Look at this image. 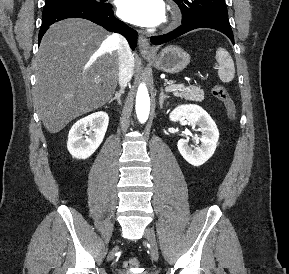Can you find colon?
Segmentation results:
<instances>
[{
  "label": "colon",
  "instance_id": "obj_1",
  "mask_svg": "<svg viewBox=\"0 0 289 274\" xmlns=\"http://www.w3.org/2000/svg\"><path fill=\"white\" fill-rule=\"evenodd\" d=\"M212 94L218 99L224 106L227 116L233 120L236 117V105L233 99L228 94L227 90L221 85H214L212 88ZM124 267L132 272L138 271L140 268V262L137 258H129L125 261Z\"/></svg>",
  "mask_w": 289,
  "mask_h": 274
}]
</instances>
